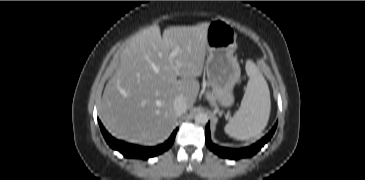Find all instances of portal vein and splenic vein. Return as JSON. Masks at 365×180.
<instances>
[{"label": "portal vein and splenic vein", "instance_id": "obj_1", "mask_svg": "<svg viewBox=\"0 0 365 180\" xmlns=\"http://www.w3.org/2000/svg\"><path fill=\"white\" fill-rule=\"evenodd\" d=\"M179 50L175 49L173 50L170 54H169V59L172 60L176 57V55L178 54Z\"/></svg>", "mask_w": 365, "mask_h": 180}]
</instances>
